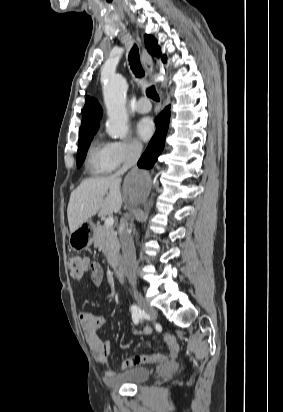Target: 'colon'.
<instances>
[{"label": "colon", "instance_id": "colon-1", "mask_svg": "<svg viewBox=\"0 0 283 412\" xmlns=\"http://www.w3.org/2000/svg\"><path fill=\"white\" fill-rule=\"evenodd\" d=\"M67 266L74 278H80L84 273L94 270L95 262L73 255L68 259Z\"/></svg>", "mask_w": 283, "mask_h": 412}]
</instances>
